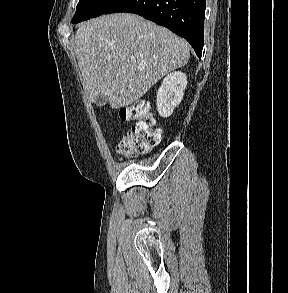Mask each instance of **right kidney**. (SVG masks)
<instances>
[{
	"instance_id": "obj_1",
	"label": "right kidney",
	"mask_w": 288,
	"mask_h": 293,
	"mask_svg": "<svg viewBox=\"0 0 288 293\" xmlns=\"http://www.w3.org/2000/svg\"><path fill=\"white\" fill-rule=\"evenodd\" d=\"M187 86V77L184 73L177 71L168 74L158 89L156 105L162 117H168L173 113L183 99L184 89Z\"/></svg>"
}]
</instances>
